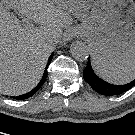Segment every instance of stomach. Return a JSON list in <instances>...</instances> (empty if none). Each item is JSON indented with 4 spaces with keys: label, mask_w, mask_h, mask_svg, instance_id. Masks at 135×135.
Instances as JSON below:
<instances>
[{
    "label": "stomach",
    "mask_w": 135,
    "mask_h": 135,
    "mask_svg": "<svg viewBox=\"0 0 135 135\" xmlns=\"http://www.w3.org/2000/svg\"><path fill=\"white\" fill-rule=\"evenodd\" d=\"M82 21L92 57L110 67L135 58L134 0H55Z\"/></svg>",
    "instance_id": "obj_1"
}]
</instances>
